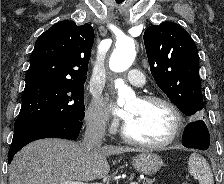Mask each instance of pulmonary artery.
<instances>
[{"instance_id":"obj_1","label":"pulmonary artery","mask_w":224,"mask_h":184,"mask_svg":"<svg viewBox=\"0 0 224 184\" xmlns=\"http://www.w3.org/2000/svg\"><path fill=\"white\" fill-rule=\"evenodd\" d=\"M127 79L133 86L136 87H142L146 83L143 73L135 69L130 70L127 73Z\"/></svg>"}]
</instances>
